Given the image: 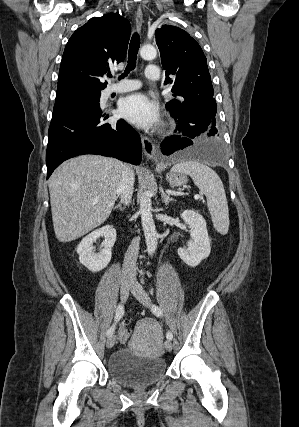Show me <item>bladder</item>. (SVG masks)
<instances>
[{
  "instance_id": "31cf9c89",
  "label": "bladder",
  "mask_w": 299,
  "mask_h": 427,
  "mask_svg": "<svg viewBox=\"0 0 299 427\" xmlns=\"http://www.w3.org/2000/svg\"><path fill=\"white\" fill-rule=\"evenodd\" d=\"M107 371L121 385L143 387L161 380L167 372V366L160 356H139L127 348H121L110 356Z\"/></svg>"
}]
</instances>
